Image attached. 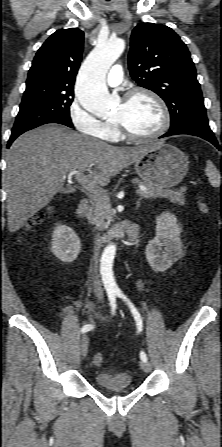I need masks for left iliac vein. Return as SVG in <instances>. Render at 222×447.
I'll use <instances>...</instances> for the list:
<instances>
[{
    "mask_svg": "<svg viewBox=\"0 0 222 447\" xmlns=\"http://www.w3.org/2000/svg\"><path fill=\"white\" fill-rule=\"evenodd\" d=\"M140 368L144 371V372H150L151 371V365L148 361H143L141 360L139 362Z\"/></svg>",
    "mask_w": 222,
    "mask_h": 447,
    "instance_id": "left-iliac-vein-1",
    "label": "left iliac vein"
}]
</instances>
